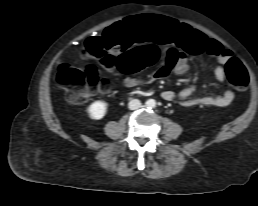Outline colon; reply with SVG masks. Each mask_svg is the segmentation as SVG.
I'll list each match as a JSON object with an SVG mask.
<instances>
[{
	"label": "colon",
	"mask_w": 258,
	"mask_h": 206,
	"mask_svg": "<svg viewBox=\"0 0 258 206\" xmlns=\"http://www.w3.org/2000/svg\"><path fill=\"white\" fill-rule=\"evenodd\" d=\"M158 54L157 48L149 45L116 56L110 53L101 41H88L84 51V56L89 60L88 64L80 69L69 63H62L56 73V82L66 91L70 103L79 104L96 92L109 90V81L101 76L99 66L115 76L135 73L153 65L158 59ZM225 74L235 89H247L249 75L237 58L231 57L225 63Z\"/></svg>",
	"instance_id": "5ec220e1"
}]
</instances>
